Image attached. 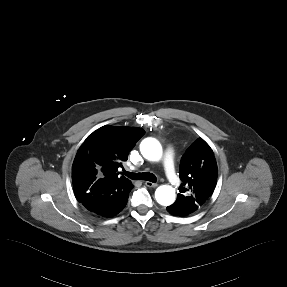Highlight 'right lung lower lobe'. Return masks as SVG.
I'll return each mask as SVG.
<instances>
[{
    "mask_svg": "<svg viewBox=\"0 0 287 287\" xmlns=\"http://www.w3.org/2000/svg\"><path fill=\"white\" fill-rule=\"evenodd\" d=\"M133 187L132 183L126 184L121 181L93 184L81 203L94 214L112 217L123 210Z\"/></svg>",
    "mask_w": 287,
    "mask_h": 287,
    "instance_id": "1",
    "label": "right lung lower lobe"
}]
</instances>
